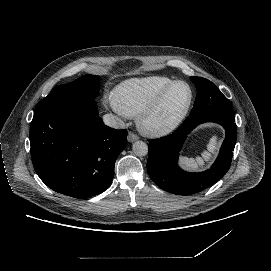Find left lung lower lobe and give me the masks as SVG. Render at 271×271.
<instances>
[{"label":"left lung lower lobe","instance_id":"1","mask_svg":"<svg viewBox=\"0 0 271 271\" xmlns=\"http://www.w3.org/2000/svg\"><path fill=\"white\" fill-rule=\"evenodd\" d=\"M216 122L226 130V138L220 154L209 170L189 173L177 165L178 152L190 131L204 122ZM237 139L234 113L201 112L189 115L172 134L160 139L148 140L147 171L161 189L178 195L200 192L219 181L229 170Z\"/></svg>","mask_w":271,"mask_h":271}]
</instances>
